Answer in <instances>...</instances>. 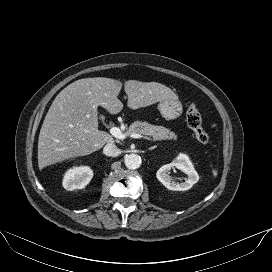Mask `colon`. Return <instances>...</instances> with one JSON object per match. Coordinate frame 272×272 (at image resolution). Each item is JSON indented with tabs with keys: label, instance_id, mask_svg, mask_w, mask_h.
I'll use <instances>...</instances> for the list:
<instances>
[{
	"label": "colon",
	"instance_id": "5ec220e1",
	"mask_svg": "<svg viewBox=\"0 0 272 272\" xmlns=\"http://www.w3.org/2000/svg\"><path fill=\"white\" fill-rule=\"evenodd\" d=\"M186 122L192 130L195 138L202 144H207L210 140L209 134L202 126V117L197 106L192 103L186 112Z\"/></svg>",
	"mask_w": 272,
	"mask_h": 272
}]
</instances>
